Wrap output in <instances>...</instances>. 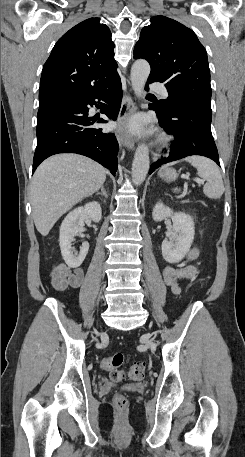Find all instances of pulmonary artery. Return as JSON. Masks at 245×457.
Returning a JSON list of instances; mask_svg holds the SVG:
<instances>
[{
	"label": "pulmonary artery",
	"mask_w": 245,
	"mask_h": 457,
	"mask_svg": "<svg viewBox=\"0 0 245 457\" xmlns=\"http://www.w3.org/2000/svg\"><path fill=\"white\" fill-rule=\"evenodd\" d=\"M146 87L150 90H160L159 96H160V100L162 102H167L169 100L170 91H169V89H163L164 88L163 81L148 80L146 82Z\"/></svg>",
	"instance_id": "pulmonary-artery-1"
}]
</instances>
